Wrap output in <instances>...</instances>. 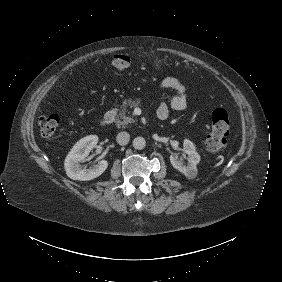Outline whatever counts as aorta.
Here are the masks:
<instances>
[{"mask_svg": "<svg viewBox=\"0 0 282 282\" xmlns=\"http://www.w3.org/2000/svg\"><path fill=\"white\" fill-rule=\"evenodd\" d=\"M132 144L135 149L142 150L146 147V140L143 137H136Z\"/></svg>", "mask_w": 282, "mask_h": 282, "instance_id": "aorta-1", "label": "aorta"}]
</instances>
